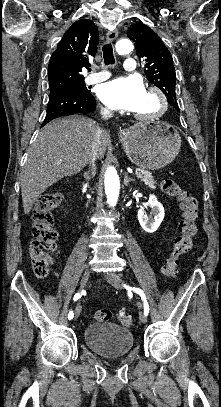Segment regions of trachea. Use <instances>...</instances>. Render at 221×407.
Returning <instances> with one entry per match:
<instances>
[{
    "instance_id": "obj_1",
    "label": "trachea",
    "mask_w": 221,
    "mask_h": 407,
    "mask_svg": "<svg viewBox=\"0 0 221 407\" xmlns=\"http://www.w3.org/2000/svg\"><path fill=\"white\" fill-rule=\"evenodd\" d=\"M103 51V57H104V62L106 65L109 64H114L115 63V58L113 55V48L111 44H105L102 48Z\"/></svg>"
}]
</instances>
